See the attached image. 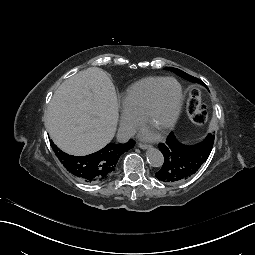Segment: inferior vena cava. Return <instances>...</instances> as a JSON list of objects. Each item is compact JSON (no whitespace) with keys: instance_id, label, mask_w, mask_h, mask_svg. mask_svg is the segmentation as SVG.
<instances>
[{"instance_id":"602c4592","label":"inferior vena cava","mask_w":255,"mask_h":255,"mask_svg":"<svg viewBox=\"0 0 255 255\" xmlns=\"http://www.w3.org/2000/svg\"><path fill=\"white\" fill-rule=\"evenodd\" d=\"M136 133V129L134 126L122 125L118 130V140L120 142H125L129 138L133 137Z\"/></svg>"}]
</instances>
